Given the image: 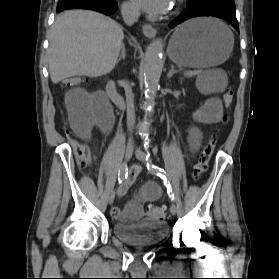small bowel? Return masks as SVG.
Instances as JSON below:
<instances>
[{
	"label": "small bowel",
	"instance_id": "obj_1",
	"mask_svg": "<svg viewBox=\"0 0 279 279\" xmlns=\"http://www.w3.org/2000/svg\"><path fill=\"white\" fill-rule=\"evenodd\" d=\"M66 106L73 131L78 137L89 140L91 131L96 126L103 135L108 136L115 123L112 108L101 92L89 93L82 88H75L66 94ZM222 117L221 101L217 97L209 98L199 108L194 118L200 123H216ZM201 140V133L196 127L189 130L188 142L192 151H196ZM141 172L139 165H133L129 170L125 187L134 182ZM162 194L161 187L155 182H147L139 194L130 200L123 210L114 207L113 217L124 221H134L143 216V203L157 200Z\"/></svg>",
	"mask_w": 279,
	"mask_h": 279
}]
</instances>
